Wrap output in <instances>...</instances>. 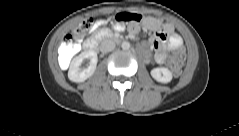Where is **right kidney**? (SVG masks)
I'll list each match as a JSON object with an SVG mask.
<instances>
[{"label":"right kidney","mask_w":239,"mask_h":136,"mask_svg":"<svg viewBox=\"0 0 239 136\" xmlns=\"http://www.w3.org/2000/svg\"><path fill=\"white\" fill-rule=\"evenodd\" d=\"M89 59V65L87 67H81L84 60ZM98 62L97 53L95 51H84L73 58L68 71V78L73 82H84L96 70Z\"/></svg>","instance_id":"obj_1"}]
</instances>
